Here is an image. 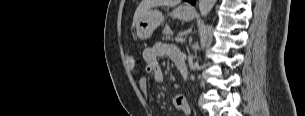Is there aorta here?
Here are the masks:
<instances>
[{
	"label": "aorta",
	"mask_w": 305,
	"mask_h": 116,
	"mask_svg": "<svg viewBox=\"0 0 305 116\" xmlns=\"http://www.w3.org/2000/svg\"><path fill=\"white\" fill-rule=\"evenodd\" d=\"M216 0H199V11L203 17H206L213 6L215 5Z\"/></svg>",
	"instance_id": "obj_1"
}]
</instances>
